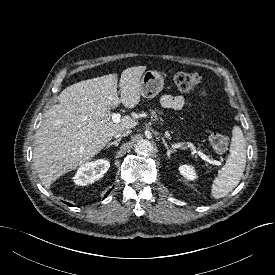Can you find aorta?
I'll return each instance as SVG.
<instances>
[{
	"label": "aorta",
	"mask_w": 275,
	"mask_h": 275,
	"mask_svg": "<svg viewBox=\"0 0 275 275\" xmlns=\"http://www.w3.org/2000/svg\"><path fill=\"white\" fill-rule=\"evenodd\" d=\"M134 149L138 155L148 156L153 151V145L149 140L141 139L135 144Z\"/></svg>",
	"instance_id": "aorta-1"
}]
</instances>
